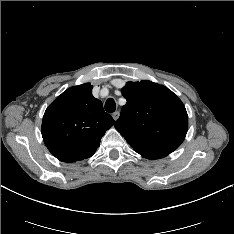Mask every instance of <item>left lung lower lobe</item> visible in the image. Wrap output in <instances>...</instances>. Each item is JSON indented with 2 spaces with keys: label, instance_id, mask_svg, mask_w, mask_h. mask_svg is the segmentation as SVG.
<instances>
[{
  "label": "left lung lower lobe",
  "instance_id": "obj_1",
  "mask_svg": "<svg viewBox=\"0 0 234 234\" xmlns=\"http://www.w3.org/2000/svg\"><path fill=\"white\" fill-rule=\"evenodd\" d=\"M136 152L147 159H159L168 155L167 153L163 152H141V151H136Z\"/></svg>",
  "mask_w": 234,
  "mask_h": 234
}]
</instances>
